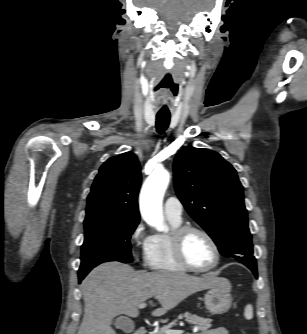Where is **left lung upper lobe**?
I'll list each match as a JSON object with an SVG mask.
<instances>
[{"instance_id":"1","label":"left lung upper lobe","mask_w":307,"mask_h":334,"mask_svg":"<svg viewBox=\"0 0 307 334\" xmlns=\"http://www.w3.org/2000/svg\"><path fill=\"white\" fill-rule=\"evenodd\" d=\"M174 186L190 216L223 256L256 267L243 186L230 163L215 151L185 147L174 161Z\"/></svg>"}]
</instances>
